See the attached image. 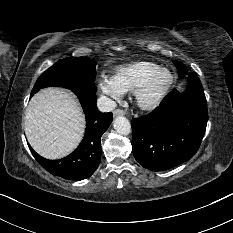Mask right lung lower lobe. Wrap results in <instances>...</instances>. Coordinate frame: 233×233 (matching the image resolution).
<instances>
[{"mask_svg": "<svg viewBox=\"0 0 233 233\" xmlns=\"http://www.w3.org/2000/svg\"><path fill=\"white\" fill-rule=\"evenodd\" d=\"M79 98L86 116V133L70 155L60 160H48L38 155L30 146L37 162L49 173L68 180L90 177L101 161L100 138L112 122V113H102L96 106V89L76 88L72 90Z\"/></svg>", "mask_w": 233, "mask_h": 233, "instance_id": "obj_1", "label": "right lung lower lobe"}]
</instances>
